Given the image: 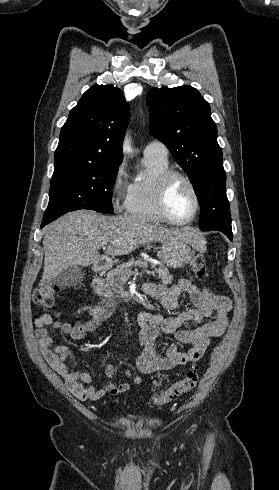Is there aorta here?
Wrapping results in <instances>:
<instances>
[{
    "instance_id": "762f6f07",
    "label": "aorta",
    "mask_w": 279,
    "mask_h": 490,
    "mask_svg": "<svg viewBox=\"0 0 279 490\" xmlns=\"http://www.w3.org/2000/svg\"><path fill=\"white\" fill-rule=\"evenodd\" d=\"M126 150H127V151H130V149H129V148H127Z\"/></svg>"
}]
</instances>
